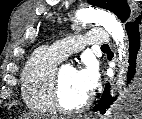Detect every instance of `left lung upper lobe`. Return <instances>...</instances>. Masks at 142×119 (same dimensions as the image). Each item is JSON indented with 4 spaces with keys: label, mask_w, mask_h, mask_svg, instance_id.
I'll use <instances>...</instances> for the list:
<instances>
[{
    "label": "left lung upper lobe",
    "mask_w": 142,
    "mask_h": 119,
    "mask_svg": "<svg viewBox=\"0 0 142 119\" xmlns=\"http://www.w3.org/2000/svg\"><path fill=\"white\" fill-rule=\"evenodd\" d=\"M88 2L113 12L125 25L137 17L135 13L131 14L126 0H88Z\"/></svg>",
    "instance_id": "5c2ea615"
}]
</instances>
